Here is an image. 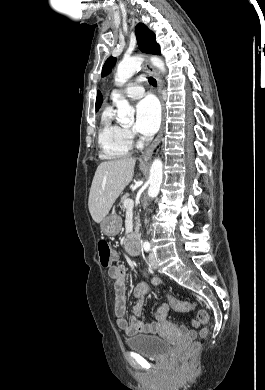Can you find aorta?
<instances>
[{
  "label": "aorta",
  "instance_id": "1",
  "mask_svg": "<svg viewBox=\"0 0 265 390\" xmlns=\"http://www.w3.org/2000/svg\"><path fill=\"white\" fill-rule=\"evenodd\" d=\"M151 63L162 72H165L164 62L156 56L150 58ZM143 58L141 56H134L129 59L121 61L117 67L115 81L122 85L130 79L136 71L141 68ZM118 121L122 124H132L134 122V109L130 106L126 99H119L116 101ZM163 177V163L160 159H155L150 168L148 196L155 198L160 190ZM144 242V245H147Z\"/></svg>",
  "mask_w": 265,
  "mask_h": 390
}]
</instances>
